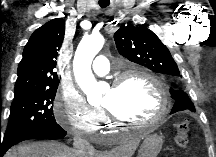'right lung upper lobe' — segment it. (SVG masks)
I'll use <instances>...</instances> for the list:
<instances>
[{"label": "right lung upper lobe", "mask_w": 216, "mask_h": 157, "mask_svg": "<svg viewBox=\"0 0 216 157\" xmlns=\"http://www.w3.org/2000/svg\"><path fill=\"white\" fill-rule=\"evenodd\" d=\"M64 32L65 21L56 18L31 35L18 66L15 96L26 91L58 87L59 79L54 70Z\"/></svg>", "instance_id": "right-lung-upper-lobe-1"}]
</instances>
